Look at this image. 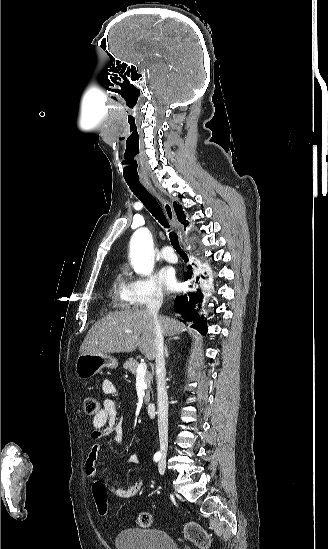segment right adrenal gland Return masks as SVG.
I'll return each mask as SVG.
<instances>
[{"instance_id":"right-adrenal-gland-1","label":"right adrenal gland","mask_w":328,"mask_h":549,"mask_svg":"<svg viewBox=\"0 0 328 549\" xmlns=\"http://www.w3.org/2000/svg\"><path fill=\"white\" fill-rule=\"evenodd\" d=\"M165 355H166V357H168L167 347H166V349H165Z\"/></svg>"}]
</instances>
